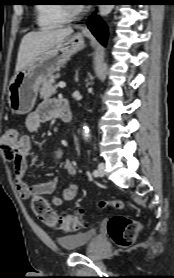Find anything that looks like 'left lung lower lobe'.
Masks as SVG:
<instances>
[{
	"mask_svg": "<svg viewBox=\"0 0 174 278\" xmlns=\"http://www.w3.org/2000/svg\"><path fill=\"white\" fill-rule=\"evenodd\" d=\"M88 28L100 43L103 45L106 44L108 35L107 27L100 17L96 16L95 14L91 15L88 20Z\"/></svg>",
	"mask_w": 174,
	"mask_h": 278,
	"instance_id": "left-lung-lower-lobe-1",
	"label": "left lung lower lobe"
}]
</instances>
